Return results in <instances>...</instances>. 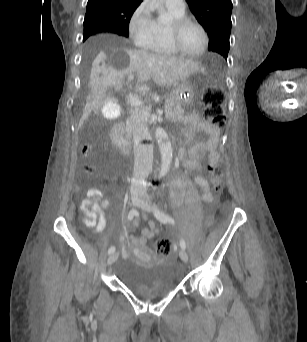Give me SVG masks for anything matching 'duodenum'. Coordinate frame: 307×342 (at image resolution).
Instances as JSON below:
<instances>
[{"label":"duodenum","mask_w":307,"mask_h":342,"mask_svg":"<svg viewBox=\"0 0 307 342\" xmlns=\"http://www.w3.org/2000/svg\"><path fill=\"white\" fill-rule=\"evenodd\" d=\"M112 141L116 148L123 154L127 153L128 141L125 135L124 125L119 122L115 124L111 134ZM181 150H179L180 152Z\"/></svg>","instance_id":"duodenum-1"}]
</instances>
